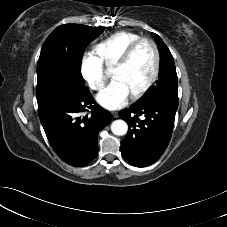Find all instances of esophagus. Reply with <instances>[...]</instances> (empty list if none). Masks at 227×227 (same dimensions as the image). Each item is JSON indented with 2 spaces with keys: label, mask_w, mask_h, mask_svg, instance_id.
Wrapping results in <instances>:
<instances>
[{
  "label": "esophagus",
  "mask_w": 227,
  "mask_h": 227,
  "mask_svg": "<svg viewBox=\"0 0 227 227\" xmlns=\"http://www.w3.org/2000/svg\"><path fill=\"white\" fill-rule=\"evenodd\" d=\"M112 116H113V118H117L118 117V112H112Z\"/></svg>",
  "instance_id": "obj_1"
}]
</instances>
